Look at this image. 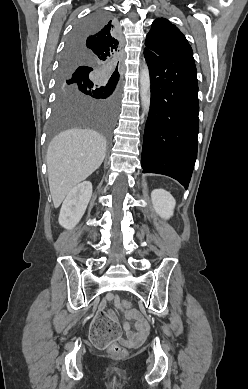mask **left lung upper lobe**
<instances>
[{
    "label": "left lung upper lobe",
    "mask_w": 248,
    "mask_h": 389,
    "mask_svg": "<svg viewBox=\"0 0 248 389\" xmlns=\"http://www.w3.org/2000/svg\"><path fill=\"white\" fill-rule=\"evenodd\" d=\"M145 45L147 50L160 56L192 54V49L180 30L163 18L156 19L147 34Z\"/></svg>",
    "instance_id": "5c2ea615"
}]
</instances>
